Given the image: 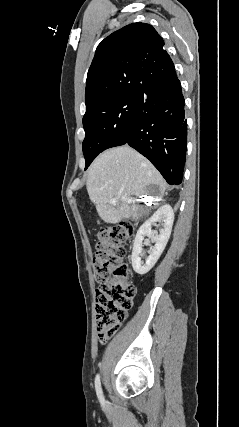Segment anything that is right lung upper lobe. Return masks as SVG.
Listing matches in <instances>:
<instances>
[{"label":"right lung upper lobe","instance_id":"right-lung-upper-lobe-1","mask_svg":"<svg viewBox=\"0 0 239 427\" xmlns=\"http://www.w3.org/2000/svg\"><path fill=\"white\" fill-rule=\"evenodd\" d=\"M164 41L146 23H132L97 47L86 80V108L120 97H138L152 86L175 79Z\"/></svg>","mask_w":239,"mask_h":427}]
</instances>
